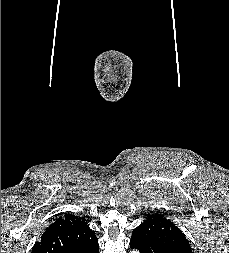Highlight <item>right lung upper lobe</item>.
<instances>
[{"label": "right lung upper lobe", "mask_w": 229, "mask_h": 253, "mask_svg": "<svg viewBox=\"0 0 229 253\" xmlns=\"http://www.w3.org/2000/svg\"><path fill=\"white\" fill-rule=\"evenodd\" d=\"M96 242L95 232L84 218L66 213L46 229L32 253H77Z\"/></svg>", "instance_id": "right-lung-upper-lobe-1"}]
</instances>
